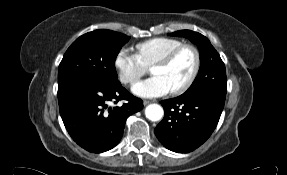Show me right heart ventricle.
I'll list each match as a JSON object with an SVG mask.
<instances>
[{
  "label": "right heart ventricle",
  "instance_id": "1",
  "mask_svg": "<svg viewBox=\"0 0 287 175\" xmlns=\"http://www.w3.org/2000/svg\"><path fill=\"white\" fill-rule=\"evenodd\" d=\"M184 42L172 37H156L136 45L138 55L146 66H151L156 60Z\"/></svg>",
  "mask_w": 287,
  "mask_h": 175
}]
</instances>
